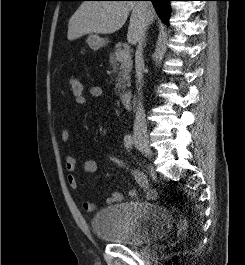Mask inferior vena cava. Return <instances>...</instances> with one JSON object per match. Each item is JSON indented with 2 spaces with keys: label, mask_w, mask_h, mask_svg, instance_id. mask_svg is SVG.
Masks as SVG:
<instances>
[{
  "label": "inferior vena cava",
  "mask_w": 245,
  "mask_h": 265,
  "mask_svg": "<svg viewBox=\"0 0 245 265\" xmlns=\"http://www.w3.org/2000/svg\"><path fill=\"white\" fill-rule=\"evenodd\" d=\"M138 3L142 13V19H141L142 25L139 30L138 45L135 53V69H136V82L137 85L140 86L143 81L142 72L144 69L143 48L146 45L145 44L146 30L152 21V4L149 1H140ZM133 129L135 135H142L146 134L147 132L145 112L141 99H139L137 103Z\"/></svg>",
  "instance_id": "obj_1"
}]
</instances>
